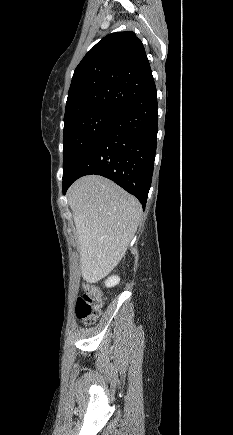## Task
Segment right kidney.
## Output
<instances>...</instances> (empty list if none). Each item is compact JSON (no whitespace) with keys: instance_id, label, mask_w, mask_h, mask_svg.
<instances>
[{"instance_id":"ca27d5eb","label":"right kidney","mask_w":233,"mask_h":435,"mask_svg":"<svg viewBox=\"0 0 233 435\" xmlns=\"http://www.w3.org/2000/svg\"><path fill=\"white\" fill-rule=\"evenodd\" d=\"M119 282H120V278L116 275L115 276L113 275L105 281V286L111 288L119 284Z\"/></svg>"}]
</instances>
